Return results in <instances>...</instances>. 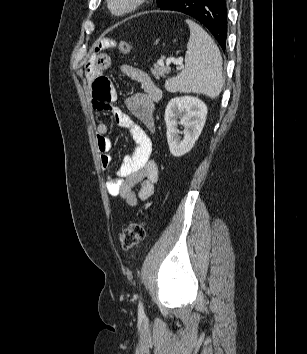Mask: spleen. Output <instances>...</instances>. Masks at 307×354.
<instances>
[{"label":"spleen","instance_id":"obj_1","mask_svg":"<svg viewBox=\"0 0 307 354\" xmlns=\"http://www.w3.org/2000/svg\"><path fill=\"white\" fill-rule=\"evenodd\" d=\"M186 22L190 28V38L185 69L166 81L165 87L169 92L204 94L215 99L224 83L219 48L202 27L191 20Z\"/></svg>","mask_w":307,"mask_h":354}]
</instances>
